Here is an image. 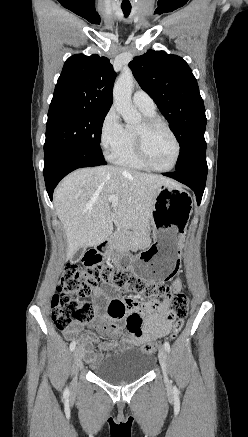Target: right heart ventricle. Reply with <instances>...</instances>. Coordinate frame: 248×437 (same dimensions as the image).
<instances>
[{"label":"right heart ventricle","mask_w":248,"mask_h":437,"mask_svg":"<svg viewBox=\"0 0 248 437\" xmlns=\"http://www.w3.org/2000/svg\"><path fill=\"white\" fill-rule=\"evenodd\" d=\"M141 112L144 114L146 118H154L156 117L155 112ZM115 162L123 167L130 169L143 170L145 166L139 160L136 150H135V139H134V131L131 129H126V142L122 150L116 155L114 158Z\"/></svg>","instance_id":"e07e8e85"}]
</instances>
